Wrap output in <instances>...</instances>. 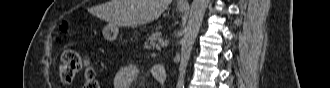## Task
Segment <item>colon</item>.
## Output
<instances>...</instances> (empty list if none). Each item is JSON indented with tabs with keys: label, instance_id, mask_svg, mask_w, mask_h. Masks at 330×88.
I'll return each instance as SVG.
<instances>
[{
	"label": "colon",
	"instance_id": "5ec220e1",
	"mask_svg": "<svg viewBox=\"0 0 330 88\" xmlns=\"http://www.w3.org/2000/svg\"><path fill=\"white\" fill-rule=\"evenodd\" d=\"M68 29L66 22L62 23L60 30L65 32ZM84 70V87L98 88L95 79V72L89 60L78 50L69 49L63 52L60 66L61 81L65 85L73 83L80 71Z\"/></svg>",
	"mask_w": 330,
	"mask_h": 88
}]
</instances>
